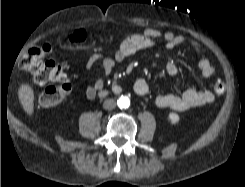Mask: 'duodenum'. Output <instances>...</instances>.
Returning a JSON list of instances; mask_svg holds the SVG:
<instances>
[{"mask_svg":"<svg viewBox=\"0 0 245 187\" xmlns=\"http://www.w3.org/2000/svg\"><path fill=\"white\" fill-rule=\"evenodd\" d=\"M114 91H115V92H118V91H120V88L116 86V87L114 88ZM106 94H107V91H105V90H103V91L100 92V95H106Z\"/></svg>","mask_w":245,"mask_h":187,"instance_id":"obj_1","label":"duodenum"}]
</instances>
